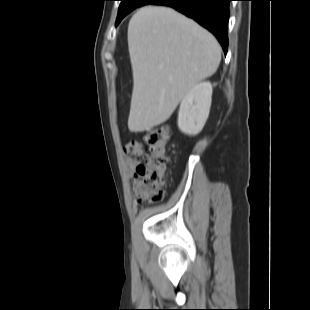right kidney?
I'll return each mask as SVG.
<instances>
[{
  "label": "right kidney",
  "mask_w": 310,
  "mask_h": 310,
  "mask_svg": "<svg viewBox=\"0 0 310 310\" xmlns=\"http://www.w3.org/2000/svg\"><path fill=\"white\" fill-rule=\"evenodd\" d=\"M212 100L210 82H200L184 96L178 112V128L187 135H197L209 116Z\"/></svg>",
  "instance_id": "obj_1"
}]
</instances>
